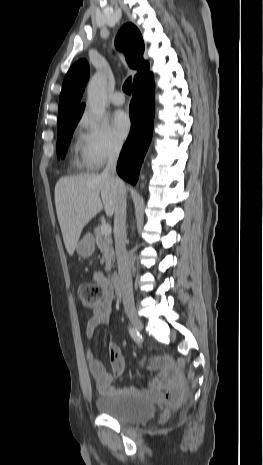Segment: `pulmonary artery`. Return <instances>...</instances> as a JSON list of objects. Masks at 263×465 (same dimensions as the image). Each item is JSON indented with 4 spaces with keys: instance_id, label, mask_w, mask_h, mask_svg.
<instances>
[{
    "instance_id": "pulmonary-artery-1",
    "label": "pulmonary artery",
    "mask_w": 263,
    "mask_h": 465,
    "mask_svg": "<svg viewBox=\"0 0 263 465\" xmlns=\"http://www.w3.org/2000/svg\"><path fill=\"white\" fill-rule=\"evenodd\" d=\"M111 102L115 106L123 105L125 102L124 95L119 91L115 92L111 97Z\"/></svg>"
}]
</instances>
